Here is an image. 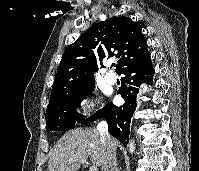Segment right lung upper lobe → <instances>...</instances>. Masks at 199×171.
<instances>
[{"mask_svg":"<svg viewBox=\"0 0 199 171\" xmlns=\"http://www.w3.org/2000/svg\"><path fill=\"white\" fill-rule=\"evenodd\" d=\"M139 23L128 17L99 22L83 33L64 51L52 86L49 105L95 83L93 71L103 60L116 56L117 71L149 55Z\"/></svg>","mask_w":199,"mask_h":171,"instance_id":"1","label":"right lung upper lobe"}]
</instances>
